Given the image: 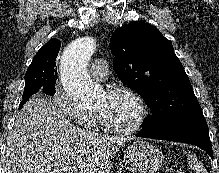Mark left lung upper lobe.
Wrapping results in <instances>:
<instances>
[{
	"instance_id": "left-lung-upper-lobe-1",
	"label": "left lung upper lobe",
	"mask_w": 219,
	"mask_h": 173,
	"mask_svg": "<svg viewBox=\"0 0 219 173\" xmlns=\"http://www.w3.org/2000/svg\"><path fill=\"white\" fill-rule=\"evenodd\" d=\"M110 49L119 79L153 111L140 132L162 134L205 121L172 43L159 30L144 22L130 23L113 33Z\"/></svg>"
}]
</instances>
